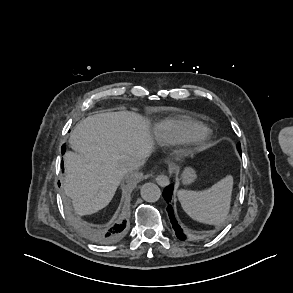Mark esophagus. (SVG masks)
<instances>
[{
    "label": "esophagus",
    "instance_id": "1",
    "mask_svg": "<svg viewBox=\"0 0 293 293\" xmlns=\"http://www.w3.org/2000/svg\"><path fill=\"white\" fill-rule=\"evenodd\" d=\"M156 182L162 186L165 187L169 185V178L166 174H159L156 176Z\"/></svg>",
    "mask_w": 293,
    "mask_h": 293
}]
</instances>
